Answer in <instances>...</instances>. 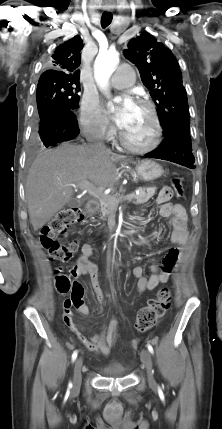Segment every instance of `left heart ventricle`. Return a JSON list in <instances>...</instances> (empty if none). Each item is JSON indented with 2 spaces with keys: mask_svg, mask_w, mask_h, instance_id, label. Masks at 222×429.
I'll return each instance as SVG.
<instances>
[{
  "mask_svg": "<svg viewBox=\"0 0 222 429\" xmlns=\"http://www.w3.org/2000/svg\"><path fill=\"white\" fill-rule=\"evenodd\" d=\"M123 131L132 143L136 145L148 144L153 134L152 121L148 110L136 103Z\"/></svg>",
  "mask_w": 222,
  "mask_h": 429,
  "instance_id": "1",
  "label": "left heart ventricle"
}]
</instances>
